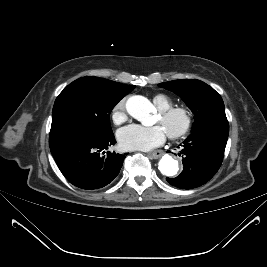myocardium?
<instances>
[{"label": "myocardium", "instance_id": "obj_1", "mask_svg": "<svg viewBox=\"0 0 267 267\" xmlns=\"http://www.w3.org/2000/svg\"><path fill=\"white\" fill-rule=\"evenodd\" d=\"M160 117L164 122H168L176 117L182 120V125L178 130L167 132L168 137L172 140H178L185 137L191 131L193 126L192 114L185 107H170L166 110H162L160 111Z\"/></svg>", "mask_w": 267, "mask_h": 267}]
</instances>
